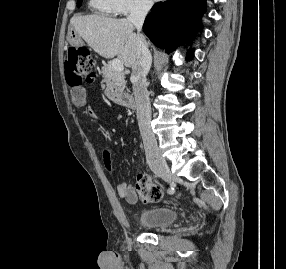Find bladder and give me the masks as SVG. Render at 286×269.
I'll return each instance as SVG.
<instances>
[{
	"label": "bladder",
	"mask_w": 286,
	"mask_h": 269,
	"mask_svg": "<svg viewBox=\"0 0 286 269\" xmlns=\"http://www.w3.org/2000/svg\"><path fill=\"white\" fill-rule=\"evenodd\" d=\"M179 218L178 212L170 207H154L138 212L136 223L149 230H159L175 223Z\"/></svg>",
	"instance_id": "bladder-1"
}]
</instances>
